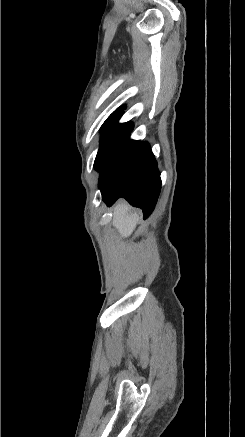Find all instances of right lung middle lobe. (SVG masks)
Masks as SVG:
<instances>
[{
	"label": "right lung middle lobe",
	"instance_id": "obj_1",
	"mask_svg": "<svg viewBox=\"0 0 245 437\" xmlns=\"http://www.w3.org/2000/svg\"><path fill=\"white\" fill-rule=\"evenodd\" d=\"M124 107H119L104 122L101 128L100 147L94 162V168L99 171L113 150L120 142L132 131L133 124L126 122L118 124L120 117L123 115Z\"/></svg>",
	"mask_w": 245,
	"mask_h": 437
}]
</instances>
